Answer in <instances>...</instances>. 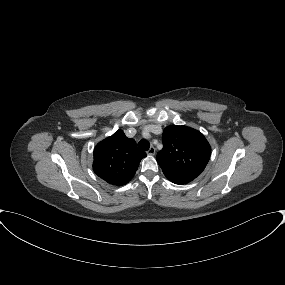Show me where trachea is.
Here are the masks:
<instances>
[{
  "instance_id": "3493384b",
  "label": "trachea",
  "mask_w": 285,
  "mask_h": 285,
  "mask_svg": "<svg viewBox=\"0 0 285 285\" xmlns=\"http://www.w3.org/2000/svg\"><path fill=\"white\" fill-rule=\"evenodd\" d=\"M138 147L141 150H148L150 148V143L143 139L138 142Z\"/></svg>"
}]
</instances>
